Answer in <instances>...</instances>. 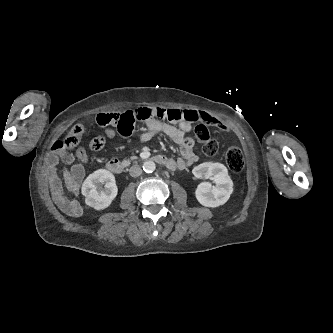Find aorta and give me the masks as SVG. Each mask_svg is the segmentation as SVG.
<instances>
[{
	"label": "aorta",
	"instance_id": "obj_1",
	"mask_svg": "<svg viewBox=\"0 0 333 333\" xmlns=\"http://www.w3.org/2000/svg\"><path fill=\"white\" fill-rule=\"evenodd\" d=\"M156 169V165L153 161H145L143 163V170L146 172V173H152L154 172Z\"/></svg>",
	"mask_w": 333,
	"mask_h": 333
}]
</instances>
